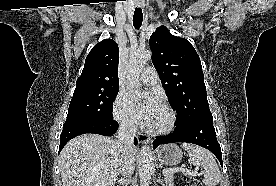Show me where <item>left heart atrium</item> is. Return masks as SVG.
Returning a JSON list of instances; mask_svg holds the SVG:
<instances>
[{"label":"left heart atrium","instance_id":"39dd6f15","mask_svg":"<svg viewBox=\"0 0 276 186\" xmlns=\"http://www.w3.org/2000/svg\"><path fill=\"white\" fill-rule=\"evenodd\" d=\"M160 107L159 100L153 95L146 96L142 103L138 101L136 94L130 96V112L142 126H151Z\"/></svg>","mask_w":276,"mask_h":186}]
</instances>
